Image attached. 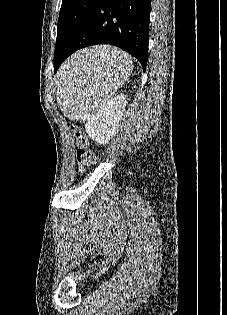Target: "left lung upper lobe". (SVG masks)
<instances>
[{"instance_id":"5c2ea615","label":"left lung upper lobe","mask_w":227,"mask_h":315,"mask_svg":"<svg viewBox=\"0 0 227 315\" xmlns=\"http://www.w3.org/2000/svg\"><path fill=\"white\" fill-rule=\"evenodd\" d=\"M100 0H63L60 9L55 54L63 50Z\"/></svg>"}]
</instances>
